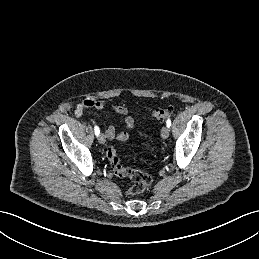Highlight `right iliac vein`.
Returning <instances> with one entry per match:
<instances>
[{
	"instance_id": "1",
	"label": "right iliac vein",
	"mask_w": 259,
	"mask_h": 259,
	"mask_svg": "<svg viewBox=\"0 0 259 259\" xmlns=\"http://www.w3.org/2000/svg\"><path fill=\"white\" fill-rule=\"evenodd\" d=\"M98 141H99L100 144H105L106 138H105L104 134H100L98 136Z\"/></svg>"
}]
</instances>
